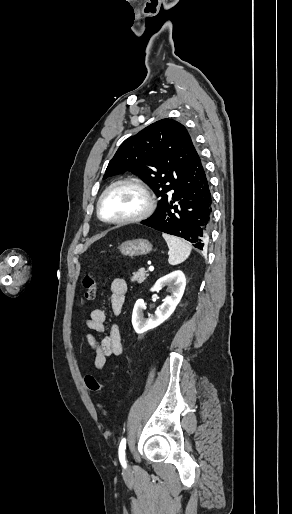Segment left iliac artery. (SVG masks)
<instances>
[{
    "label": "left iliac artery",
    "instance_id": "44dca946",
    "mask_svg": "<svg viewBox=\"0 0 292 514\" xmlns=\"http://www.w3.org/2000/svg\"><path fill=\"white\" fill-rule=\"evenodd\" d=\"M125 449H126V438H123L119 445L118 454H119L120 463L122 464V466L124 468H126Z\"/></svg>",
    "mask_w": 292,
    "mask_h": 514
}]
</instances>
